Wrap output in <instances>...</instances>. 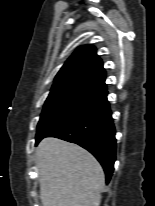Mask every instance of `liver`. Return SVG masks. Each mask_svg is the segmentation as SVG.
I'll return each instance as SVG.
<instances>
[{
  "instance_id": "liver-1",
  "label": "liver",
  "mask_w": 155,
  "mask_h": 206,
  "mask_svg": "<svg viewBox=\"0 0 155 206\" xmlns=\"http://www.w3.org/2000/svg\"><path fill=\"white\" fill-rule=\"evenodd\" d=\"M42 206H99L105 185L99 162L82 147L56 138L36 150Z\"/></svg>"
}]
</instances>
